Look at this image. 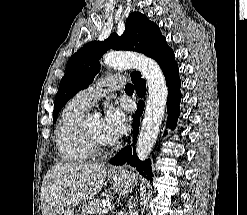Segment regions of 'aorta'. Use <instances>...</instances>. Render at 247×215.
I'll return each mask as SVG.
<instances>
[{"label": "aorta", "mask_w": 247, "mask_h": 215, "mask_svg": "<svg viewBox=\"0 0 247 215\" xmlns=\"http://www.w3.org/2000/svg\"><path fill=\"white\" fill-rule=\"evenodd\" d=\"M103 60L106 65L114 68L136 69L147 82L148 99L136 144L137 156L143 161L150 155L163 121L168 96L165 77L157 62L142 54L110 52L104 55Z\"/></svg>", "instance_id": "aorta-1"}]
</instances>
